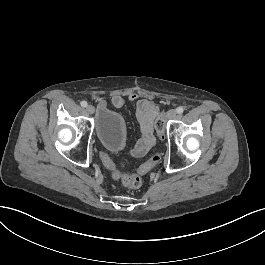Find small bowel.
Here are the masks:
<instances>
[{
	"label": "small bowel",
	"mask_w": 265,
	"mask_h": 265,
	"mask_svg": "<svg viewBox=\"0 0 265 265\" xmlns=\"http://www.w3.org/2000/svg\"><path fill=\"white\" fill-rule=\"evenodd\" d=\"M126 100L136 102L137 104V118L143 131V139L140 144L132 150V155L134 157H142L154 142L152 127L157 109L151 100L139 98L136 93H129L124 96L119 92H114L111 96V102L116 108L123 107ZM103 163L105 167L111 171L116 168L114 161L108 156Z\"/></svg>",
	"instance_id": "1"
}]
</instances>
